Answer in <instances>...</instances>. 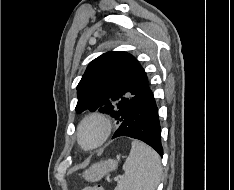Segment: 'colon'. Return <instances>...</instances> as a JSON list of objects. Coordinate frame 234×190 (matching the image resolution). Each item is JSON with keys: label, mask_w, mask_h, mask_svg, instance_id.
Returning a JSON list of instances; mask_svg holds the SVG:
<instances>
[{"label": "colon", "mask_w": 234, "mask_h": 190, "mask_svg": "<svg viewBox=\"0 0 234 190\" xmlns=\"http://www.w3.org/2000/svg\"><path fill=\"white\" fill-rule=\"evenodd\" d=\"M82 190H105V189L101 185H96V186H90V187L83 188Z\"/></svg>", "instance_id": "1"}]
</instances>
